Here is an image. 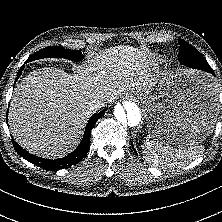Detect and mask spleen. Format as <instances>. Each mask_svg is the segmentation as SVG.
I'll use <instances>...</instances> for the list:
<instances>
[{
  "mask_svg": "<svg viewBox=\"0 0 222 222\" xmlns=\"http://www.w3.org/2000/svg\"><path fill=\"white\" fill-rule=\"evenodd\" d=\"M203 151L202 145L175 148L149 140L144 141L142 146L143 158L154 167H181L201 156Z\"/></svg>",
  "mask_w": 222,
  "mask_h": 222,
  "instance_id": "1",
  "label": "spleen"
}]
</instances>
